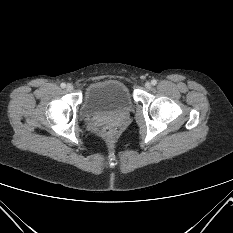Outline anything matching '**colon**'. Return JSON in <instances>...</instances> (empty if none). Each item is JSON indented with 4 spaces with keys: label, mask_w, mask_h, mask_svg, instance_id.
I'll list each match as a JSON object with an SVG mask.
<instances>
[{
    "label": "colon",
    "mask_w": 233,
    "mask_h": 233,
    "mask_svg": "<svg viewBox=\"0 0 233 233\" xmlns=\"http://www.w3.org/2000/svg\"><path fill=\"white\" fill-rule=\"evenodd\" d=\"M100 133L104 138L109 139V138H112L114 136L115 128L111 124H107V125L102 127Z\"/></svg>",
    "instance_id": "1"
}]
</instances>
